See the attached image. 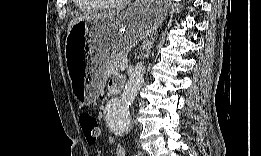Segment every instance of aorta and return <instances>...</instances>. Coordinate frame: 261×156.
<instances>
[{"mask_svg":"<svg viewBox=\"0 0 261 156\" xmlns=\"http://www.w3.org/2000/svg\"><path fill=\"white\" fill-rule=\"evenodd\" d=\"M144 71V64L137 63L129 76L123 93L107 102L104 111V121L110 133L117 136L128 133L131 126L129 107L142 87Z\"/></svg>","mask_w":261,"mask_h":156,"instance_id":"762f6f07","label":"aorta"}]
</instances>
